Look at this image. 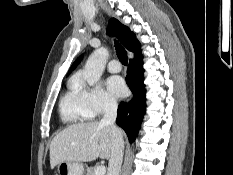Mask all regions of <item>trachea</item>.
<instances>
[{
	"label": "trachea",
	"mask_w": 233,
	"mask_h": 175,
	"mask_svg": "<svg viewBox=\"0 0 233 175\" xmlns=\"http://www.w3.org/2000/svg\"><path fill=\"white\" fill-rule=\"evenodd\" d=\"M115 47L120 62L126 65L128 61L126 50L117 41H115Z\"/></svg>",
	"instance_id": "1"
}]
</instances>
